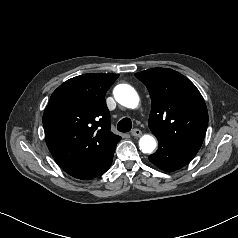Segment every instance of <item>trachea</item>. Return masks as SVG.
I'll use <instances>...</instances> for the list:
<instances>
[{"label":"trachea","instance_id":"1","mask_svg":"<svg viewBox=\"0 0 238 238\" xmlns=\"http://www.w3.org/2000/svg\"><path fill=\"white\" fill-rule=\"evenodd\" d=\"M132 128V122L129 118H123L117 125L120 132H129Z\"/></svg>","mask_w":238,"mask_h":238}]
</instances>
